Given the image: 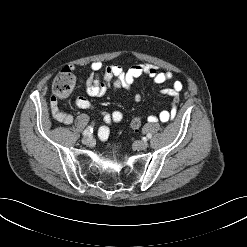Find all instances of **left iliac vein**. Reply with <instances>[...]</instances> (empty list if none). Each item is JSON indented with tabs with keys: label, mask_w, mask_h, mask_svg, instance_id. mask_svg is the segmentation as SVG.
Returning <instances> with one entry per match:
<instances>
[{
	"label": "left iliac vein",
	"mask_w": 247,
	"mask_h": 247,
	"mask_svg": "<svg viewBox=\"0 0 247 247\" xmlns=\"http://www.w3.org/2000/svg\"><path fill=\"white\" fill-rule=\"evenodd\" d=\"M133 145L138 150H145L148 147V143L146 141H136Z\"/></svg>",
	"instance_id": "1"
}]
</instances>
